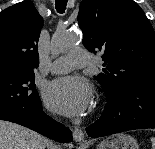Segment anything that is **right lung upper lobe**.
I'll return each mask as SVG.
<instances>
[{
  "instance_id": "obj_1",
  "label": "right lung upper lobe",
  "mask_w": 155,
  "mask_h": 149,
  "mask_svg": "<svg viewBox=\"0 0 155 149\" xmlns=\"http://www.w3.org/2000/svg\"><path fill=\"white\" fill-rule=\"evenodd\" d=\"M43 19L24 0L0 13V69L34 72L39 65L38 39Z\"/></svg>"
}]
</instances>
